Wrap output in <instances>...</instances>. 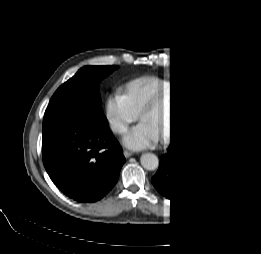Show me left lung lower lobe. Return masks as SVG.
Segmentation results:
<instances>
[{
    "label": "left lung lower lobe",
    "instance_id": "1",
    "mask_svg": "<svg viewBox=\"0 0 261 254\" xmlns=\"http://www.w3.org/2000/svg\"><path fill=\"white\" fill-rule=\"evenodd\" d=\"M183 152L184 149L181 142L176 141L171 143L168 154L161 157L158 172L152 178V184L158 192L171 201H185L188 199L183 191L182 194L178 193L179 189L177 187L182 178V174L185 175L187 169L185 159H183L182 156Z\"/></svg>",
    "mask_w": 261,
    "mask_h": 254
}]
</instances>
